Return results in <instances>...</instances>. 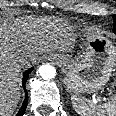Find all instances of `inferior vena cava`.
Here are the masks:
<instances>
[{
  "label": "inferior vena cava",
  "instance_id": "1",
  "mask_svg": "<svg viewBox=\"0 0 116 116\" xmlns=\"http://www.w3.org/2000/svg\"><path fill=\"white\" fill-rule=\"evenodd\" d=\"M29 61V57L26 56V55H23L20 60H19V63L20 64H24V63H27Z\"/></svg>",
  "mask_w": 116,
  "mask_h": 116
}]
</instances>
